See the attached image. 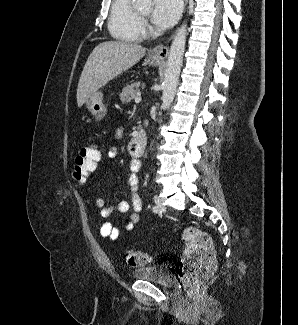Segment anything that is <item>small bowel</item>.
Here are the masks:
<instances>
[{
	"label": "small bowel",
	"mask_w": 298,
	"mask_h": 325,
	"mask_svg": "<svg viewBox=\"0 0 298 325\" xmlns=\"http://www.w3.org/2000/svg\"><path fill=\"white\" fill-rule=\"evenodd\" d=\"M123 130L119 128L116 132V137L119 138L122 135ZM118 152L115 146H109L106 149V156L109 159L116 158ZM140 161L137 159H131L129 168L131 174L129 176V186L131 188V203L127 201H121L116 204H112L110 206H106V202L103 196L97 195L94 199L95 205L100 208V215L103 218H108L113 212L118 211L120 213H129L126 225L123 229L124 233L131 232L140 219V212L142 210V200L138 195V178L137 173L140 170ZM131 209V211H130ZM122 231L112 225L111 223H104L100 228V235L103 238L109 239L111 241H115L119 238Z\"/></svg>",
	"instance_id": "c3829d8e"
}]
</instances>
